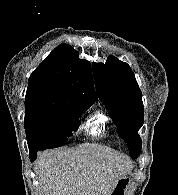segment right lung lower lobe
I'll use <instances>...</instances> for the list:
<instances>
[{"label":"right lung lower lobe","instance_id":"right-lung-lower-lobe-1","mask_svg":"<svg viewBox=\"0 0 178 195\" xmlns=\"http://www.w3.org/2000/svg\"><path fill=\"white\" fill-rule=\"evenodd\" d=\"M31 162H33L37 158V153L30 155Z\"/></svg>","mask_w":178,"mask_h":195}]
</instances>
